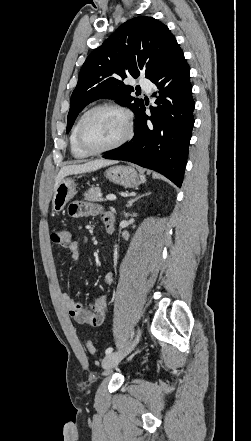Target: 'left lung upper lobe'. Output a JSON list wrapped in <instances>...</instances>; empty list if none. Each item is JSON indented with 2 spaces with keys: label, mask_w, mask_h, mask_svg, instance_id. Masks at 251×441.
<instances>
[{
  "label": "left lung upper lobe",
  "mask_w": 251,
  "mask_h": 441,
  "mask_svg": "<svg viewBox=\"0 0 251 441\" xmlns=\"http://www.w3.org/2000/svg\"><path fill=\"white\" fill-rule=\"evenodd\" d=\"M176 44L168 27L152 17H135L123 23L83 64L71 96L67 132L77 115L100 98L113 99L136 114L143 100L132 97L134 88L123 80L137 78L140 73L151 79Z\"/></svg>",
  "instance_id": "5c2ea615"
}]
</instances>
